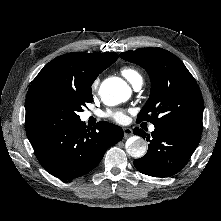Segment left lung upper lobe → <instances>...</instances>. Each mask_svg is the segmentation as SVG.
Returning <instances> with one entry per match:
<instances>
[{"instance_id": "obj_1", "label": "left lung upper lobe", "mask_w": 221, "mask_h": 221, "mask_svg": "<svg viewBox=\"0 0 221 221\" xmlns=\"http://www.w3.org/2000/svg\"><path fill=\"white\" fill-rule=\"evenodd\" d=\"M119 56L140 65L149 74L151 93L137 117L154 126L168 127L201 136L203 98L184 63L162 48H141Z\"/></svg>"}]
</instances>
